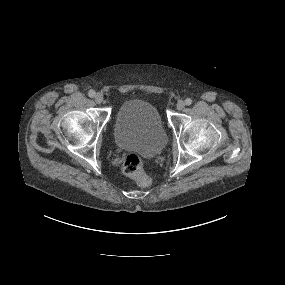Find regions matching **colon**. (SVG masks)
<instances>
[{
	"label": "colon",
	"mask_w": 285,
	"mask_h": 285,
	"mask_svg": "<svg viewBox=\"0 0 285 285\" xmlns=\"http://www.w3.org/2000/svg\"><path fill=\"white\" fill-rule=\"evenodd\" d=\"M123 172L139 186L148 187L151 184V178L144 170L142 158L135 153L128 154L124 158Z\"/></svg>",
	"instance_id": "obj_1"
}]
</instances>
